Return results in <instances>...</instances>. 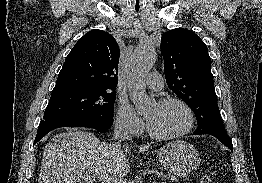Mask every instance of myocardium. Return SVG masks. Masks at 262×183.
<instances>
[{"label":"myocardium","instance_id":"myocardium-1","mask_svg":"<svg viewBox=\"0 0 262 183\" xmlns=\"http://www.w3.org/2000/svg\"><path fill=\"white\" fill-rule=\"evenodd\" d=\"M170 103H177L179 105H181L187 112L189 115V124L188 126L180 131L177 132L175 134H171V135H162V134H158L156 133L149 125V123H146V129L148 134L150 135V137H152L153 139L156 140H160V141H169V140H174V139H178L180 137L185 136L186 134L190 133L194 126H195V122H196V117H195V112L193 110V108L184 100L177 98V97H165L160 99L157 104L159 105H167Z\"/></svg>","mask_w":262,"mask_h":183}]
</instances>
